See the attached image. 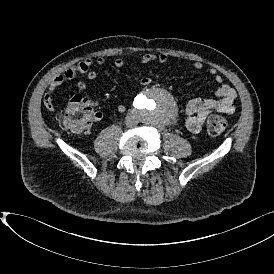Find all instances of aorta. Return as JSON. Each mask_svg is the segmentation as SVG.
<instances>
[{"label": "aorta", "mask_w": 274, "mask_h": 274, "mask_svg": "<svg viewBox=\"0 0 274 274\" xmlns=\"http://www.w3.org/2000/svg\"><path fill=\"white\" fill-rule=\"evenodd\" d=\"M138 107L144 123L153 126L170 123L178 113L173 96L167 90L155 86L141 94Z\"/></svg>", "instance_id": "obj_1"}]
</instances>
